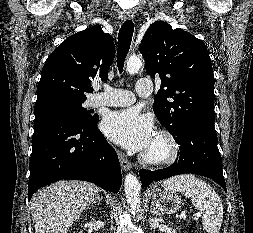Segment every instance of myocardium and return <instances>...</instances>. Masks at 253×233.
<instances>
[{
	"label": "myocardium",
	"mask_w": 253,
	"mask_h": 233,
	"mask_svg": "<svg viewBox=\"0 0 253 233\" xmlns=\"http://www.w3.org/2000/svg\"><path fill=\"white\" fill-rule=\"evenodd\" d=\"M157 149H150L141 155L144 164L164 166L174 163L180 155V146L174 134L168 130H160L155 136Z\"/></svg>",
	"instance_id": "obj_1"
}]
</instances>
